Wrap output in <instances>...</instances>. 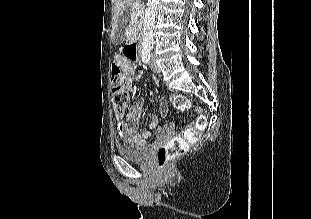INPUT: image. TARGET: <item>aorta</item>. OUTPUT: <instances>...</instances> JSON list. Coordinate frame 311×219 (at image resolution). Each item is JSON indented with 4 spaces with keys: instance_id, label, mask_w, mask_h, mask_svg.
I'll return each mask as SVG.
<instances>
[{
    "instance_id": "aorta-1",
    "label": "aorta",
    "mask_w": 311,
    "mask_h": 219,
    "mask_svg": "<svg viewBox=\"0 0 311 219\" xmlns=\"http://www.w3.org/2000/svg\"><path fill=\"white\" fill-rule=\"evenodd\" d=\"M159 6V0H148L147 9L145 11L143 23V41L142 46L144 49H152L154 38V24Z\"/></svg>"
}]
</instances>
